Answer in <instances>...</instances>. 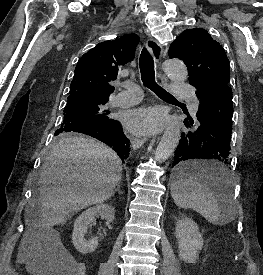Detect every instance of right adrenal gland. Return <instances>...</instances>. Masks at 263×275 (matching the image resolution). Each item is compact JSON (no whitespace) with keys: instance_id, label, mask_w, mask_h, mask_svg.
Listing matches in <instances>:
<instances>
[{"instance_id":"2a0ac1e0","label":"right adrenal gland","mask_w":263,"mask_h":275,"mask_svg":"<svg viewBox=\"0 0 263 275\" xmlns=\"http://www.w3.org/2000/svg\"><path fill=\"white\" fill-rule=\"evenodd\" d=\"M116 192H118L119 194H121V191H120V182L117 184V188L114 190L112 196H114V194H115Z\"/></svg>"}]
</instances>
